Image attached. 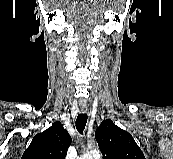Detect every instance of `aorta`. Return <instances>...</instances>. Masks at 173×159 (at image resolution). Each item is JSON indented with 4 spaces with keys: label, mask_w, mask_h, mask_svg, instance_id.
<instances>
[{
    "label": "aorta",
    "mask_w": 173,
    "mask_h": 159,
    "mask_svg": "<svg viewBox=\"0 0 173 159\" xmlns=\"http://www.w3.org/2000/svg\"><path fill=\"white\" fill-rule=\"evenodd\" d=\"M80 159H101V155L99 151L92 150L82 155Z\"/></svg>",
    "instance_id": "aorta-1"
}]
</instances>
